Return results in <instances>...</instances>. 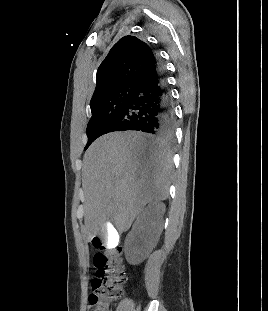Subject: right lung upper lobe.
<instances>
[{"label": "right lung upper lobe", "mask_w": 268, "mask_h": 311, "mask_svg": "<svg viewBox=\"0 0 268 311\" xmlns=\"http://www.w3.org/2000/svg\"><path fill=\"white\" fill-rule=\"evenodd\" d=\"M155 63L156 56L148 44L135 36L121 38L97 70L91 102L119 88L135 85Z\"/></svg>", "instance_id": "obj_1"}]
</instances>
